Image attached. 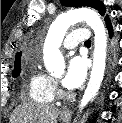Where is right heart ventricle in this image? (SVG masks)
<instances>
[{
    "mask_svg": "<svg viewBox=\"0 0 122 123\" xmlns=\"http://www.w3.org/2000/svg\"><path fill=\"white\" fill-rule=\"evenodd\" d=\"M27 91L34 102L48 104L54 99L55 84L50 76L34 68L30 74Z\"/></svg>",
    "mask_w": 122,
    "mask_h": 123,
    "instance_id": "obj_1",
    "label": "right heart ventricle"
}]
</instances>
